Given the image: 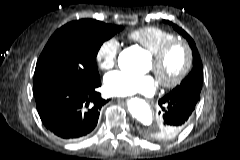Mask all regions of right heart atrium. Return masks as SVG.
Wrapping results in <instances>:
<instances>
[{"mask_svg":"<svg viewBox=\"0 0 240 160\" xmlns=\"http://www.w3.org/2000/svg\"><path fill=\"white\" fill-rule=\"evenodd\" d=\"M120 52V43L115 38L105 40L97 49L96 61L102 70H110L116 64Z\"/></svg>","mask_w":240,"mask_h":160,"instance_id":"right-heart-atrium-1","label":"right heart atrium"}]
</instances>
